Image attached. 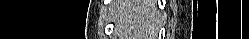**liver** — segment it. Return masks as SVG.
<instances>
[{"instance_id": "6515ba94", "label": "liver", "mask_w": 249, "mask_h": 39, "mask_svg": "<svg viewBox=\"0 0 249 39\" xmlns=\"http://www.w3.org/2000/svg\"><path fill=\"white\" fill-rule=\"evenodd\" d=\"M157 0H122L117 4L115 17L120 39H153L160 21Z\"/></svg>"}]
</instances>
